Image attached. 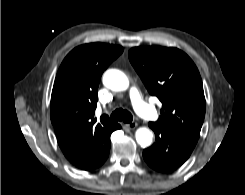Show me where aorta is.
I'll list each match as a JSON object with an SVG mask.
<instances>
[{"instance_id":"1","label":"aorta","mask_w":245,"mask_h":195,"mask_svg":"<svg viewBox=\"0 0 245 195\" xmlns=\"http://www.w3.org/2000/svg\"><path fill=\"white\" fill-rule=\"evenodd\" d=\"M103 84L113 91H124L129 86V80L122 71L109 69L103 75ZM135 137L141 147H148L152 144L153 134L148 128L137 129Z\"/></svg>"}]
</instances>
